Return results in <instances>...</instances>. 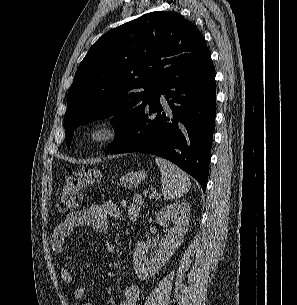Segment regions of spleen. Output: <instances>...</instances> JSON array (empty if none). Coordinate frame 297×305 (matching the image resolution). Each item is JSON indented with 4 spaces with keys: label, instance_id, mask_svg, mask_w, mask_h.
I'll return each mask as SVG.
<instances>
[{
    "label": "spleen",
    "instance_id": "obj_1",
    "mask_svg": "<svg viewBox=\"0 0 297 305\" xmlns=\"http://www.w3.org/2000/svg\"><path fill=\"white\" fill-rule=\"evenodd\" d=\"M155 161L161 171V190L166 200L177 199L189 191L191 182L185 172L163 158L155 157Z\"/></svg>",
    "mask_w": 297,
    "mask_h": 305
}]
</instances>
